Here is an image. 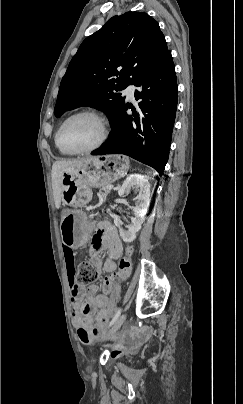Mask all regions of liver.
I'll use <instances>...</instances> for the list:
<instances>
[{"mask_svg": "<svg viewBox=\"0 0 243 404\" xmlns=\"http://www.w3.org/2000/svg\"><path fill=\"white\" fill-rule=\"evenodd\" d=\"M81 162H84V158H77V160H61V162H54V164L52 166L51 178H52V190H53L55 208H60V206H61L62 170H64V168H70V166H79V164H81Z\"/></svg>", "mask_w": 243, "mask_h": 404, "instance_id": "1", "label": "liver"}]
</instances>
